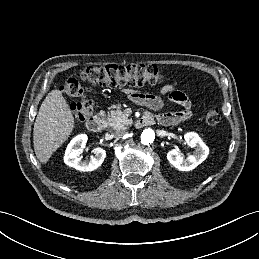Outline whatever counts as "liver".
I'll return each instance as SVG.
<instances>
[{"label":"liver","instance_id":"liver-1","mask_svg":"<svg viewBox=\"0 0 259 259\" xmlns=\"http://www.w3.org/2000/svg\"><path fill=\"white\" fill-rule=\"evenodd\" d=\"M75 120L68 103L58 89L52 90L39 108L33 129V144L42 164L68 139Z\"/></svg>","mask_w":259,"mask_h":259}]
</instances>
